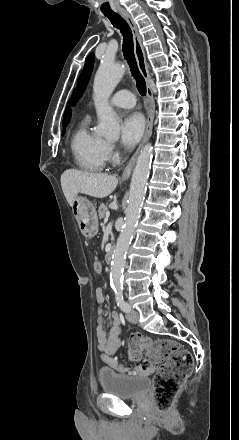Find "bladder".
I'll use <instances>...</instances> for the list:
<instances>
[{
    "label": "bladder",
    "instance_id": "bladder-1",
    "mask_svg": "<svg viewBox=\"0 0 239 440\" xmlns=\"http://www.w3.org/2000/svg\"><path fill=\"white\" fill-rule=\"evenodd\" d=\"M98 379L104 393L127 399L144 396L151 385L148 377L122 375L108 369H101Z\"/></svg>",
    "mask_w": 239,
    "mask_h": 440
}]
</instances>
